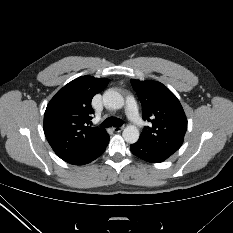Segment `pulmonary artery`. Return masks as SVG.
Listing matches in <instances>:
<instances>
[{"instance_id":"e3ab8cb5","label":"pulmonary artery","mask_w":233,"mask_h":233,"mask_svg":"<svg viewBox=\"0 0 233 233\" xmlns=\"http://www.w3.org/2000/svg\"><path fill=\"white\" fill-rule=\"evenodd\" d=\"M126 109L131 122L136 126H142L143 120L139 114L137 104L133 98L127 99Z\"/></svg>"}]
</instances>
